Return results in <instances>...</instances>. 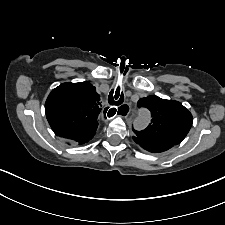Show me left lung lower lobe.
I'll use <instances>...</instances> for the list:
<instances>
[{"instance_id":"left-lung-lower-lobe-1","label":"left lung lower lobe","mask_w":225,"mask_h":225,"mask_svg":"<svg viewBox=\"0 0 225 225\" xmlns=\"http://www.w3.org/2000/svg\"><path fill=\"white\" fill-rule=\"evenodd\" d=\"M133 139L143 149H145V150H147L149 152H152V153L164 152V151L170 149L171 147H173V145L152 143V142L145 141V140H142V139L137 138V137H133Z\"/></svg>"}]
</instances>
